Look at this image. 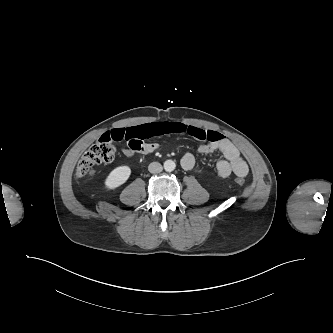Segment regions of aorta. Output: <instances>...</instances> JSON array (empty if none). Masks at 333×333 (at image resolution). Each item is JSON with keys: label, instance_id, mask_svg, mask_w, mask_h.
<instances>
[{"label": "aorta", "instance_id": "1", "mask_svg": "<svg viewBox=\"0 0 333 333\" xmlns=\"http://www.w3.org/2000/svg\"><path fill=\"white\" fill-rule=\"evenodd\" d=\"M176 168V164L172 160H166L164 162V169L165 171L171 172Z\"/></svg>", "mask_w": 333, "mask_h": 333}]
</instances>
